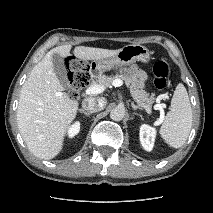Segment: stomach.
Masks as SVG:
<instances>
[{
    "label": "stomach",
    "instance_id": "1",
    "mask_svg": "<svg viewBox=\"0 0 213 213\" xmlns=\"http://www.w3.org/2000/svg\"><path fill=\"white\" fill-rule=\"evenodd\" d=\"M149 60L150 52L145 46L129 44L119 49L112 57L93 60L88 68L92 76H98L117 67L128 66L139 61L147 63Z\"/></svg>",
    "mask_w": 213,
    "mask_h": 213
}]
</instances>
